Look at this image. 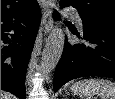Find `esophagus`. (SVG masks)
<instances>
[{"instance_id": "obj_1", "label": "esophagus", "mask_w": 115, "mask_h": 99, "mask_svg": "<svg viewBox=\"0 0 115 99\" xmlns=\"http://www.w3.org/2000/svg\"><path fill=\"white\" fill-rule=\"evenodd\" d=\"M40 6L42 10L41 31L47 34L53 28L51 13L52 7L55 6V2L54 0H40Z\"/></svg>"}]
</instances>
